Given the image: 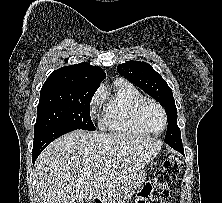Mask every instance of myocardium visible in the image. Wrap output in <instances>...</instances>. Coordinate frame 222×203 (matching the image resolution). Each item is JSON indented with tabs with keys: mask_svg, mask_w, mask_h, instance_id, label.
<instances>
[{
	"mask_svg": "<svg viewBox=\"0 0 222 203\" xmlns=\"http://www.w3.org/2000/svg\"><path fill=\"white\" fill-rule=\"evenodd\" d=\"M148 105L156 106L160 110V112L162 113V116H163V119H164V125H163V128L158 132H154V131L150 130L147 127V125L145 124L143 114H144L145 108ZM135 118H136V121H137L138 125L145 132H147L150 135H154V136H157V135H160L161 133H163L165 131V129L167 128V125H168V117H167V114H166V111H165L164 107L159 102H157L156 100H153V99L145 98L144 100H142L141 102L138 103V105L136 106V109H135Z\"/></svg>",
	"mask_w": 222,
	"mask_h": 203,
	"instance_id": "f54148a6",
	"label": "myocardium"
}]
</instances>
